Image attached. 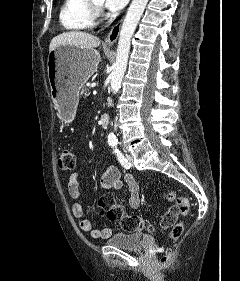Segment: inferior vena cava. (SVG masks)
<instances>
[{"instance_id":"602c4592","label":"inferior vena cava","mask_w":240,"mask_h":281,"mask_svg":"<svg viewBox=\"0 0 240 281\" xmlns=\"http://www.w3.org/2000/svg\"><path fill=\"white\" fill-rule=\"evenodd\" d=\"M115 129H117V125L115 124Z\"/></svg>"}]
</instances>
